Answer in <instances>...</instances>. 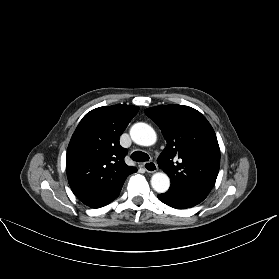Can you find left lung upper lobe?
<instances>
[{"mask_svg":"<svg viewBox=\"0 0 279 279\" xmlns=\"http://www.w3.org/2000/svg\"><path fill=\"white\" fill-rule=\"evenodd\" d=\"M144 112L167 142L157 162L170 177L169 189L205 199L220 167V149L210 123L199 111L184 105H160Z\"/></svg>","mask_w":279,"mask_h":279,"instance_id":"left-lung-upper-lobe-1","label":"left lung upper lobe"}]
</instances>
